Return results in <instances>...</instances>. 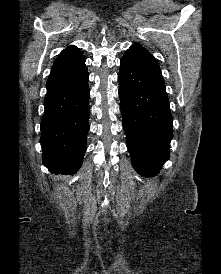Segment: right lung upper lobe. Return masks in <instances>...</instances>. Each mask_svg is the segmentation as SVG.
Instances as JSON below:
<instances>
[{"label":"right lung upper lobe","instance_id":"right-lung-upper-lobe-1","mask_svg":"<svg viewBox=\"0 0 221 274\" xmlns=\"http://www.w3.org/2000/svg\"><path fill=\"white\" fill-rule=\"evenodd\" d=\"M85 58L83 53L76 46H69L63 50L55 60L51 71L64 68Z\"/></svg>","mask_w":221,"mask_h":274}]
</instances>
